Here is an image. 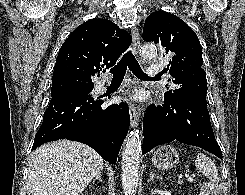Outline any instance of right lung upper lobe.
Segmentation results:
<instances>
[{
	"label": "right lung upper lobe",
	"mask_w": 245,
	"mask_h": 195,
	"mask_svg": "<svg viewBox=\"0 0 245 195\" xmlns=\"http://www.w3.org/2000/svg\"><path fill=\"white\" fill-rule=\"evenodd\" d=\"M131 41L128 32L107 19L95 18L78 26L58 53L51 95L93 87L95 74L115 65Z\"/></svg>",
	"instance_id": "right-lung-upper-lobe-1"
}]
</instances>
